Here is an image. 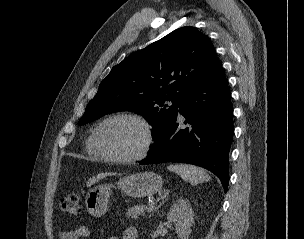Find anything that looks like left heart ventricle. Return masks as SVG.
Returning <instances> with one entry per match:
<instances>
[{"instance_id": "b2bd125f", "label": "left heart ventricle", "mask_w": 304, "mask_h": 239, "mask_svg": "<svg viewBox=\"0 0 304 239\" xmlns=\"http://www.w3.org/2000/svg\"><path fill=\"white\" fill-rule=\"evenodd\" d=\"M145 139L142 126L130 119L108 122L99 133L102 148L116 156H130L137 153Z\"/></svg>"}]
</instances>
